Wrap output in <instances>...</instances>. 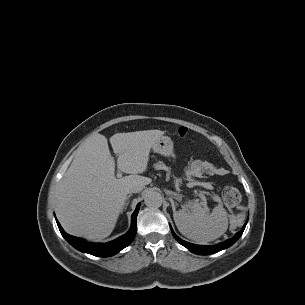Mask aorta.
Masks as SVG:
<instances>
[{"mask_svg": "<svg viewBox=\"0 0 305 305\" xmlns=\"http://www.w3.org/2000/svg\"><path fill=\"white\" fill-rule=\"evenodd\" d=\"M145 205L149 208H159L162 206L163 198L156 191H149L144 197Z\"/></svg>", "mask_w": 305, "mask_h": 305, "instance_id": "aorta-1", "label": "aorta"}]
</instances>
